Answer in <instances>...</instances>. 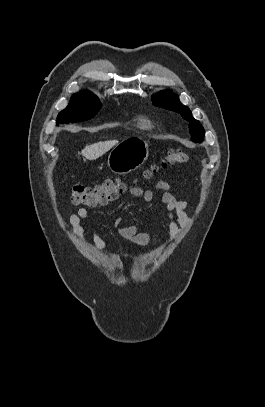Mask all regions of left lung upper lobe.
Wrapping results in <instances>:
<instances>
[{
	"mask_svg": "<svg viewBox=\"0 0 265 407\" xmlns=\"http://www.w3.org/2000/svg\"><path fill=\"white\" fill-rule=\"evenodd\" d=\"M153 104L180 113L185 120L190 122L189 131L191 139L194 142H201L203 140L204 129L202 125L192 117L189 108L179 101V97L176 94L169 90L161 91L153 98Z\"/></svg>",
	"mask_w": 265,
	"mask_h": 407,
	"instance_id": "1",
	"label": "left lung upper lobe"
}]
</instances>
